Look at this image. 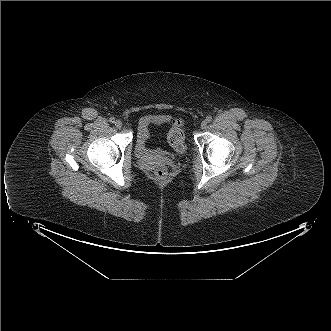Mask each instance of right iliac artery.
Masks as SVG:
<instances>
[{
  "instance_id": "right-iliac-artery-1",
  "label": "right iliac artery",
  "mask_w": 331,
  "mask_h": 331,
  "mask_svg": "<svg viewBox=\"0 0 331 331\" xmlns=\"http://www.w3.org/2000/svg\"><path fill=\"white\" fill-rule=\"evenodd\" d=\"M109 121H110V123H115V118H114V117H111V118L109 119Z\"/></svg>"
}]
</instances>
